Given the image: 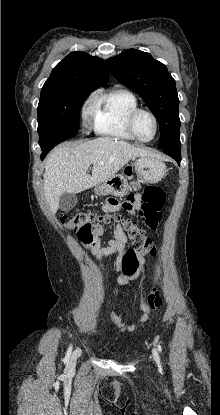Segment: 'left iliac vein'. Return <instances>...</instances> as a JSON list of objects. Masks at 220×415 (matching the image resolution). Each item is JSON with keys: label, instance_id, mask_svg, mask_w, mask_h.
<instances>
[{"label": "left iliac vein", "instance_id": "left-iliac-vein-1", "mask_svg": "<svg viewBox=\"0 0 220 415\" xmlns=\"http://www.w3.org/2000/svg\"><path fill=\"white\" fill-rule=\"evenodd\" d=\"M152 354H153V358H154L155 362L157 364H160L159 353H158L156 348L153 349Z\"/></svg>", "mask_w": 220, "mask_h": 415}]
</instances>
